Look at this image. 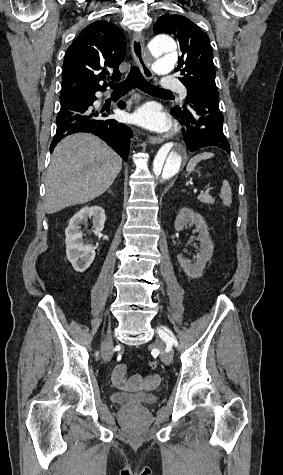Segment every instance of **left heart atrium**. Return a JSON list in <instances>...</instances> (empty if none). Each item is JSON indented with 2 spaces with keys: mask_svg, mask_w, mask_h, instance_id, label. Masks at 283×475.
I'll return each instance as SVG.
<instances>
[{
  "mask_svg": "<svg viewBox=\"0 0 283 475\" xmlns=\"http://www.w3.org/2000/svg\"><path fill=\"white\" fill-rule=\"evenodd\" d=\"M133 122L139 127L152 131L164 132L170 127L169 117L154 102L140 106L132 116Z\"/></svg>",
  "mask_w": 283,
  "mask_h": 475,
  "instance_id": "1",
  "label": "left heart atrium"
}]
</instances>
